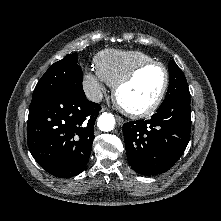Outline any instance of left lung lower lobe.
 Listing matches in <instances>:
<instances>
[{
    "label": "left lung lower lobe",
    "mask_w": 221,
    "mask_h": 221,
    "mask_svg": "<svg viewBox=\"0 0 221 221\" xmlns=\"http://www.w3.org/2000/svg\"><path fill=\"white\" fill-rule=\"evenodd\" d=\"M190 128L189 91L162 102L151 119L125 123L123 134L129 165L142 175L166 172L184 153Z\"/></svg>",
    "instance_id": "left-lung-lower-lobe-1"
}]
</instances>
